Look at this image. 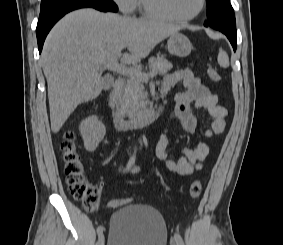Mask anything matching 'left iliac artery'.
Returning <instances> with one entry per match:
<instances>
[{"label": "left iliac artery", "mask_w": 283, "mask_h": 245, "mask_svg": "<svg viewBox=\"0 0 283 245\" xmlns=\"http://www.w3.org/2000/svg\"><path fill=\"white\" fill-rule=\"evenodd\" d=\"M174 239L178 245H184L183 239L178 233H175Z\"/></svg>", "instance_id": "obj_1"}]
</instances>
